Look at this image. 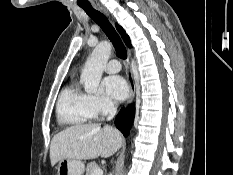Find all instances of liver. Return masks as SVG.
Listing matches in <instances>:
<instances>
[{"instance_id":"obj_1","label":"liver","mask_w":233,"mask_h":175,"mask_svg":"<svg viewBox=\"0 0 233 175\" xmlns=\"http://www.w3.org/2000/svg\"><path fill=\"white\" fill-rule=\"evenodd\" d=\"M122 135L112 126L79 124L56 134L50 145V160L54 166L63 159L90 160L108 158L121 146Z\"/></svg>"}]
</instances>
